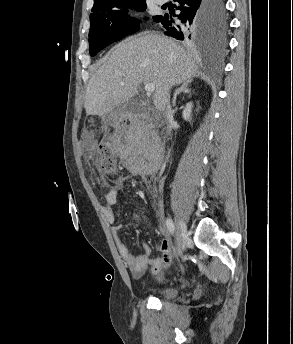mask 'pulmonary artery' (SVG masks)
<instances>
[{
  "label": "pulmonary artery",
  "instance_id": "e3ab8cb5",
  "mask_svg": "<svg viewBox=\"0 0 293 344\" xmlns=\"http://www.w3.org/2000/svg\"><path fill=\"white\" fill-rule=\"evenodd\" d=\"M158 4H164L167 2V0H155Z\"/></svg>",
  "mask_w": 293,
  "mask_h": 344
}]
</instances>
